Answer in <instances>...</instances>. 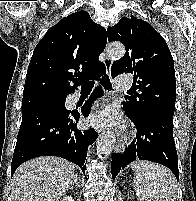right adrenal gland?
<instances>
[{
	"mask_svg": "<svg viewBox=\"0 0 196 201\" xmlns=\"http://www.w3.org/2000/svg\"><path fill=\"white\" fill-rule=\"evenodd\" d=\"M74 185L77 186V187H79L78 177H77L76 174H75L74 181H73V183L69 186V188H70V189H73Z\"/></svg>",
	"mask_w": 196,
	"mask_h": 201,
	"instance_id": "2a0ac1e0",
	"label": "right adrenal gland"
}]
</instances>
